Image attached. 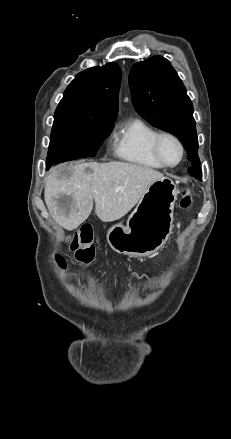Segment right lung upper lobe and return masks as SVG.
I'll return each mask as SVG.
<instances>
[{"instance_id":"1","label":"right lung upper lobe","mask_w":231,"mask_h":439,"mask_svg":"<svg viewBox=\"0 0 231 439\" xmlns=\"http://www.w3.org/2000/svg\"><path fill=\"white\" fill-rule=\"evenodd\" d=\"M121 78V70L114 62L79 73L65 90L54 118L82 116L114 122Z\"/></svg>"}]
</instances>
